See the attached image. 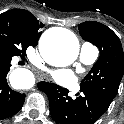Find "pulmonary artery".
Wrapping results in <instances>:
<instances>
[{
	"mask_svg": "<svg viewBox=\"0 0 124 124\" xmlns=\"http://www.w3.org/2000/svg\"><path fill=\"white\" fill-rule=\"evenodd\" d=\"M99 56V50L91 43H83L80 48L79 59L85 65L93 64Z\"/></svg>",
	"mask_w": 124,
	"mask_h": 124,
	"instance_id": "1",
	"label": "pulmonary artery"
}]
</instances>
